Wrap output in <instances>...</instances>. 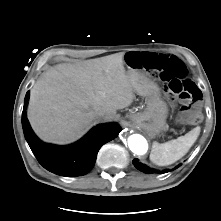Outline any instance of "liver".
Returning <instances> with one entry per match:
<instances>
[{"label": "liver", "instance_id": "1", "mask_svg": "<svg viewBox=\"0 0 221 221\" xmlns=\"http://www.w3.org/2000/svg\"><path fill=\"white\" fill-rule=\"evenodd\" d=\"M124 53L58 64L44 72L31 90L28 119L45 142L68 144L83 136L98 119L111 121L134 100L135 79L123 65Z\"/></svg>", "mask_w": 221, "mask_h": 221}]
</instances>
